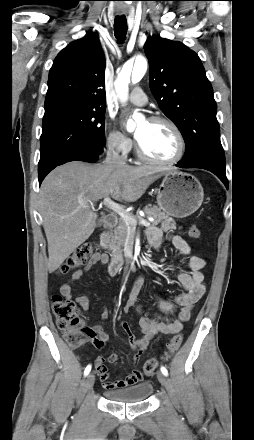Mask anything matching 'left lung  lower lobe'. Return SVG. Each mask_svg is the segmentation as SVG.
<instances>
[{
  "instance_id": "left-lung-lower-lobe-1",
  "label": "left lung lower lobe",
  "mask_w": 254,
  "mask_h": 440,
  "mask_svg": "<svg viewBox=\"0 0 254 440\" xmlns=\"http://www.w3.org/2000/svg\"><path fill=\"white\" fill-rule=\"evenodd\" d=\"M179 168H200L214 173L228 188V180L225 173V158L217 155H204L194 160L184 162L183 160L176 164Z\"/></svg>"
}]
</instances>
